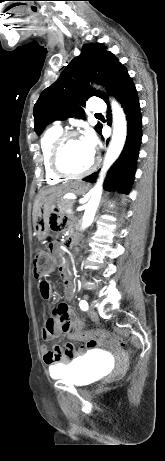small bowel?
Instances as JSON below:
<instances>
[{
  "label": "small bowel",
  "mask_w": 165,
  "mask_h": 461,
  "mask_svg": "<svg viewBox=\"0 0 165 461\" xmlns=\"http://www.w3.org/2000/svg\"><path fill=\"white\" fill-rule=\"evenodd\" d=\"M55 213L60 211L58 206L53 208ZM62 219L64 222H71L73 219L72 214H63ZM49 222H58L60 220L59 214H49ZM62 272L63 288L65 297L69 300L74 295V288L63 266H60ZM39 292L43 299L50 300L53 297V286L48 280H41L39 283ZM42 338L45 341H50L60 335H67L69 338L77 341H84L87 339L89 332L81 330L82 322L78 319L73 311L70 309L66 302L59 303L53 309L51 315L44 316L42 321ZM88 352H92L93 348L88 347ZM43 360L50 367L54 376L59 374V368L64 362L71 360L74 357V352H67L66 349L60 345H54L51 349L46 347L42 348Z\"/></svg>",
  "instance_id": "small-bowel-1"
}]
</instances>
